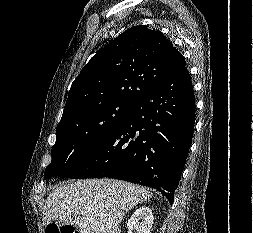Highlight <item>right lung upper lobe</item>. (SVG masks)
I'll return each instance as SVG.
<instances>
[{
    "label": "right lung upper lobe",
    "instance_id": "obj_1",
    "mask_svg": "<svg viewBox=\"0 0 253 233\" xmlns=\"http://www.w3.org/2000/svg\"><path fill=\"white\" fill-rule=\"evenodd\" d=\"M182 54L159 30L139 25L97 52L72 83L63 116L101 101H135L149 87L185 66Z\"/></svg>",
    "mask_w": 253,
    "mask_h": 233
}]
</instances>
